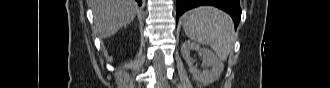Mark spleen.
Returning a JSON list of instances; mask_svg holds the SVG:
<instances>
[{
  "label": "spleen",
  "mask_w": 330,
  "mask_h": 88,
  "mask_svg": "<svg viewBox=\"0 0 330 88\" xmlns=\"http://www.w3.org/2000/svg\"><path fill=\"white\" fill-rule=\"evenodd\" d=\"M183 29L193 41L210 46L221 61H225L235 42L234 24L225 12L200 6L182 16Z\"/></svg>",
  "instance_id": "spleen-1"
}]
</instances>
